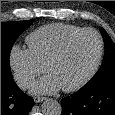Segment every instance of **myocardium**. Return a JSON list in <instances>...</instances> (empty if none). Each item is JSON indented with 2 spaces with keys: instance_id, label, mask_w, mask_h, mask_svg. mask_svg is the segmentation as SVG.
<instances>
[{
  "instance_id": "f54148a6",
  "label": "myocardium",
  "mask_w": 115,
  "mask_h": 115,
  "mask_svg": "<svg viewBox=\"0 0 115 115\" xmlns=\"http://www.w3.org/2000/svg\"><path fill=\"white\" fill-rule=\"evenodd\" d=\"M88 33L94 34L96 36V38L98 39L99 50H98L97 58L95 60L93 67L91 68V70L88 72V74L83 79H81L79 82L75 83L74 85H71L68 87H62L63 91H65V92H75V91L80 90L85 85H87L93 79V77L96 75V73L98 72L100 65L102 63L103 55H104V41H103V38L100 35V33L98 31H96L95 29L85 28V29H82V30L70 35L61 43V45L56 49V51L47 59L45 65H44L45 71L47 72L48 68L52 64H54L55 62H57L64 56V54L67 52L70 45L77 38H79L80 36H82L84 34H88Z\"/></svg>"
}]
</instances>
